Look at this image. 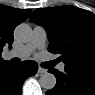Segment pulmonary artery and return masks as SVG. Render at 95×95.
Listing matches in <instances>:
<instances>
[{
	"label": "pulmonary artery",
	"mask_w": 95,
	"mask_h": 95,
	"mask_svg": "<svg viewBox=\"0 0 95 95\" xmlns=\"http://www.w3.org/2000/svg\"><path fill=\"white\" fill-rule=\"evenodd\" d=\"M46 40H47L46 29L42 26H35L33 29L31 40L26 45L18 49H13L9 51L8 53H6V56L9 58L25 59L28 56H30L34 49L44 46ZM58 68L60 70H64L65 64L60 63Z\"/></svg>",
	"instance_id": "1"
}]
</instances>
